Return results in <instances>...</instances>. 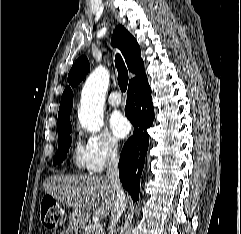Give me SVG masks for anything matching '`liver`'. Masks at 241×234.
I'll list each match as a JSON object with an SVG mask.
<instances>
[{
  "instance_id": "liver-1",
  "label": "liver",
  "mask_w": 241,
  "mask_h": 234,
  "mask_svg": "<svg viewBox=\"0 0 241 234\" xmlns=\"http://www.w3.org/2000/svg\"><path fill=\"white\" fill-rule=\"evenodd\" d=\"M43 187L47 194L85 219L94 209L96 217L106 218L114 208L115 193L105 176L53 175L45 179Z\"/></svg>"
}]
</instances>
